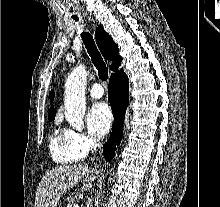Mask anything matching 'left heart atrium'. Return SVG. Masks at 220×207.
<instances>
[{"label":"left heart atrium","instance_id":"left-heart-atrium-1","mask_svg":"<svg viewBox=\"0 0 220 207\" xmlns=\"http://www.w3.org/2000/svg\"><path fill=\"white\" fill-rule=\"evenodd\" d=\"M112 112L108 104L98 102L94 104L87 115V127L94 137H103L110 130L112 123Z\"/></svg>","mask_w":220,"mask_h":207}]
</instances>
